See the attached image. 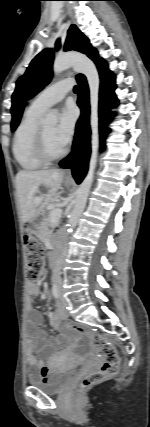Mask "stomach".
I'll return each mask as SVG.
<instances>
[{"mask_svg": "<svg viewBox=\"0 0 150 427\" xmlns=\"http://www.w3.org/2000/svg\"><path fill=\"white\" fill-rule=\"evenodd\" d=\"M67 185L69 186V185H70V183H69V182H67Z\"/></svg>", "mask_w": 150, "mask_h": 427, "instance_id": "stomach-1", "label": "stomach"}]
</instances>
